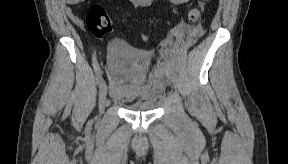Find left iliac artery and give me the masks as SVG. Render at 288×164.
Listing matches in <instances>:
<instances>
[{
    "label": "left iliac artery",
    "instance_id": "44dca946",
    "mask_svg": "<svg viewBox=\"0 0 288 164\" xmlns=\"http://www.w3.org/2000/svg\"><path fill=\"white\" fill-rule=\"evenodd\" d=\"M167 65H168L169 67H171V66H172V63L168 60V61H167Z\"/></svg>",
    "mask_w": 288,
    "mask_h": 164
}]
</instances>
